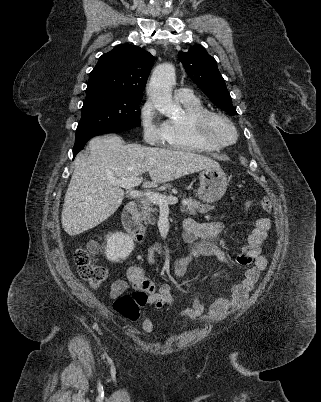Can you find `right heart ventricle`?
<instances>
[{
    "label": "right heart ventricle",
    "mask_w": 321,
    "mask_h": 402,
    "mask_svg": "<svg viewBox=\"0 0 321 402\" xmlns=\"http://www.w3.org/2000/svg\"><path fill=\"white\" fill-rule=\"evenodd\" d=\"M181 104L184 110L183 115L164 122V144L173 149L191 152L208 153L218 150L203 142L194 129L195 117L208 110L206 106L196 97L181 101Z\"/></svg>",
    "instance_id": "e07e8e85"
}]
</instances>
